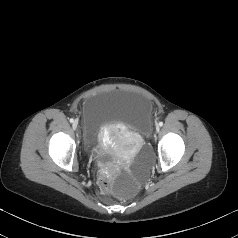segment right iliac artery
<instances>
[{
    "label": "right iliac artery",
    "instance_id": "82829eb1",
    "mask_svg": "<svg viewBox=\"0 0 238 238\" xmlns=\"http://www.w3.org/2000/svg\"><path fill=\"white\" fill-rule=\"evenodd\" d=\"M71 123H73L74 122V120L71 118L70 120H69Z\"/></svg>",
    "mask_w": 238,
    "mask_h": 238
}]
</instances>
